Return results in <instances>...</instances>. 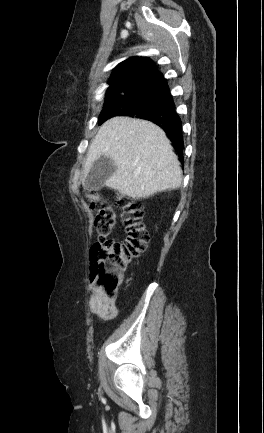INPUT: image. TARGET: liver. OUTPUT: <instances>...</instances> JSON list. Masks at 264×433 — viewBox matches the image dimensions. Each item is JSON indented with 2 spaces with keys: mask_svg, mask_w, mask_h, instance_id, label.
Here are the masks:
<instances>
[{
  "mask_svg": "<svg viewBox=\"0 0 264 433\" xmlns=\"http://www.w3.org/2000/svg\"><path fill=\"white\" fill-rule=\"evenodd\" d=\"M101 156L116 165L106 186L133 199L173 190L182 183L180 163L169 139L149 121L120 116L102 124L88 148L84 179Z\"/></svg>",
  "mask_w": 264,
  "mask_h": 433,
  "instance_id": "6515ba94",
  "label": "liver"
}]
</instances>
